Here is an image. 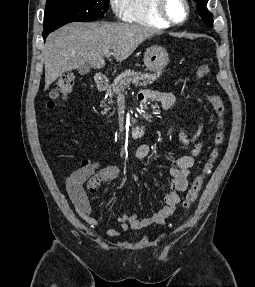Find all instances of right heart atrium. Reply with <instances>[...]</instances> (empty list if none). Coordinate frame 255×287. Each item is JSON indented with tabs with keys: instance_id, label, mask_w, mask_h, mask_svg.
<instances>
[{
	"instance_id": "right-heart-atrium-1",
	"label": "right heart atrium",
	"mask_w": 255,
	"mask_h": 287,
	"mask_svg": "<svg viewBox=\"0 0 255 287\" xmlns=\"http://www.w3.org/2000/svg\"><path fill=\"white\" fill-rule=\"evenodd\" d=\"M114 39V38H113ZM110 48H119V47H110Z\"/></svg>"
}]
</instances>
